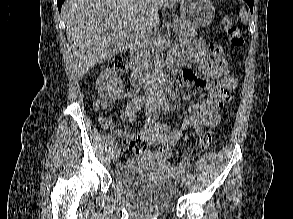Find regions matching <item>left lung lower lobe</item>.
Wrapping results in <instances>:
<instances>
[{"mask_svg":"<svg viewBox=\"0 0 293 219\" xmlns=\"http://www.w3.org/2000/svg\"><path fill=\"white\" fill-rule=\"evenodd\" d=\"M250 7L251 13L253 12V2L254 0H244Z\"/></svg>","mask_w":293,"mask_h":219,"instance_id":"1","label":"left lung lower lobe"}]
</instances>
